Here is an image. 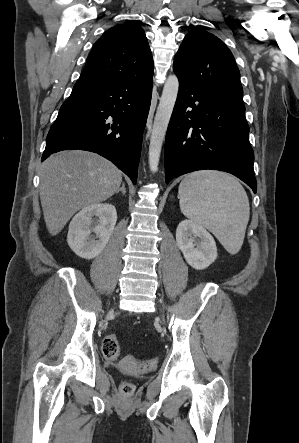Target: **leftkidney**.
Wrapping results in <instances>:
<instances>
[{"label":"left kidney","mask_w":299,"mask_h":443,"mask_svg":"<svg viewBox=\"0 0 299 443\" xmlns=\"http://www.w3.org/2000/svg\"><path fill=\"white\" fill-rule=\"evenodd\" d=\"M176 242L186 262L197 270L207 268L217 258L212 235L191 220H183L176 229Z\"/></svg>","instance_id":"5707ae66"}]
</instances>
